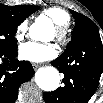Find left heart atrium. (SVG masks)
Masks as SVG:
<instances>
[{
    "label": "left heart atrium",
    "instance_id": "left-heart-atrium-1",
    "mask_svg": "<svg viewBox=\"0 0 103 103\" xmlns=\"http://www.w3.org/2000/svg\"><path fill=\"white\" fill-rule=\"evenodd\" d=\"M56 56V50L51 44L26 42L19 47V57L29 62H44Z\"/></svg>",
    "mask_w": 103,
    "mask_h": 103
}]
</instances>
